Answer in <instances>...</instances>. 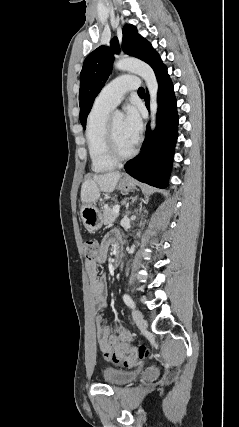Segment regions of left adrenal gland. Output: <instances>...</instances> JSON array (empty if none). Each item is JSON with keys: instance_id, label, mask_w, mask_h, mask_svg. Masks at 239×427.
<instances>
[{"instance_id": "1", "label": "left adrenal gland", "mask_w": 239, "mask_h": 427, "mask_svg": "<svg viewBox=\"0 0 239 427\" xmlns=\"http://www.w3.org/2000/svg\"><path fill=\"white\" fill-rule=\"evenodd\" d=\"M136 200V198L135 199H133V201L132 202H134Z\"/></svg>"}]
</instances>
